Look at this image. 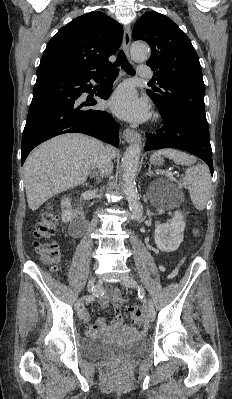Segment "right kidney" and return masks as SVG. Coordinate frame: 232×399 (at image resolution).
Listing matches in <instances>:
<instances>
[{
	"mask_svg": "<svg viewBox=\"0 0 232 399\" xmlns=\"http://www.w3.org/2000/svg\"><path fill=\"white\" fill-rule=\"evenodd\" d=\"M61 205L63 207L61 213L62 221H70L72 217L71 200L69 198H62Z\"/></svg>",
	"mask_w": 232,
	"mask_h": 399,
	"instance_id": "1",
	"label": "right kidney"
}]
</instances>
